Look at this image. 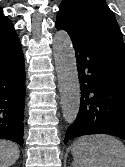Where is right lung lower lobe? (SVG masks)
<instances>
[{
  "label": "right lung lower lobe",
  "instance_id": "obj_1",
  "mask_svg": "<svg viewBox=\"0 0 125 167\" xmlns=\"http://www.w3.org/2000/svg\"><path fill=\"white\" fill-rule=\"evenodd\" d=\"M25 69L21 43L12 29L0 31V138L23 145Z\"/></svg>",
  "mask_w": 125,
  "mask_h": 167
}]
</instances>
